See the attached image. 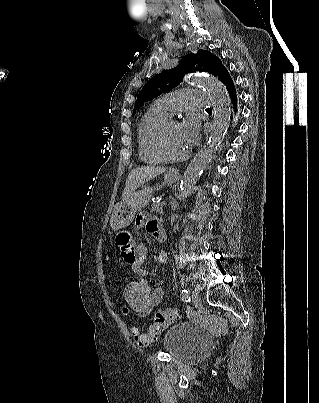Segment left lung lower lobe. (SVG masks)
I'll return each instance as SVG.
<instances>
[{
    "label": "left lung lower lobe",
    "mask_w": 319,
    "mask_h": 403,
    "mask_svg": "<svg viewBox=\"0 0 319 403\" xmlns=\"http://www.w3.org/2000/svg\"><path fill=\"white\" fill-rule=\"evenodd\" d=\"M221 82H223L229 92V95L231 97V100L235 106L236 109V101H237V97H236V92H235V87H234V83L227 71V69L225 68L223 70V72L220 74L219 78H218Z\"/></svg>",
    "instance_id": "0a47b994"
}]
</instances>
